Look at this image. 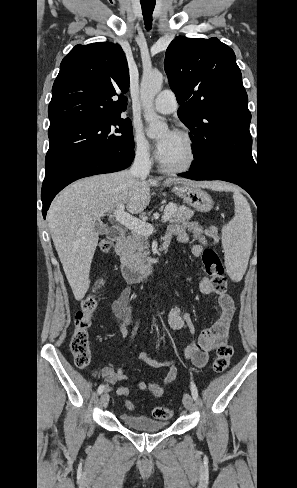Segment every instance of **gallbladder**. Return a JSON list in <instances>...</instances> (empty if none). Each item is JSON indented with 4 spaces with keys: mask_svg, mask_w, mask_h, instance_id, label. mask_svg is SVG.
<instances>
[{
    "mask_svg": "<svg viewBox=\"0 0 297 488\" xmlns=\"http://www.w3.org/2000/svg\"><path fill=\"white\" fill-rule=\"evenodd\" d=\"M95 230L98 234L104 235L108 231V226L106 224L96 223Z\"/></svg>",
    "mask_w": 297,
    "mask_h": 488,
    "instance_id": "1",
    "label": "gallbladder"
}]
</instances>
